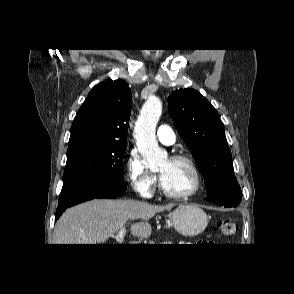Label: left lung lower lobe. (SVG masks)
<instances>
[{
	"mask_svg": "<svg viewBox=\"0 0 294 294\" xmlns=\"http://www.w3.org/2000/svg\"><path fill=\"white\" fill-rule=\"evenodd\" d=\"M206 200L224 207H236L240 203L241 197H211Z\"/></svg>",
	"mask_w": 294,
	"mask_h": 294,
	"instance_id": "obj_1",
	"label": "left lung lower lobe"
}]
</instances>
